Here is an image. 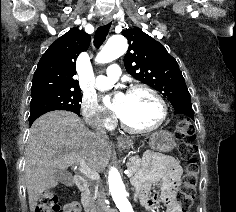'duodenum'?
I'll use <instances>...</instances> for the list:
<instances>
[{
	"mask_svg": "<svg viewBox=\"0 0 236 212\" xmlns=\"http://www.w3.org/2000/svg\"><path fill=\"white\" fill-rule=\"evenodd\" d=\"M75 183L82 195V203L86 212H98L97 208L91 203L89 199V185L84 176L78 174L75 176Z\"/></svg>",
	"mask_w": 236,
	"mask_h": 212,
	"instance_id": "410a0bca",
	"label": "duodenum"
}]
</instances>
